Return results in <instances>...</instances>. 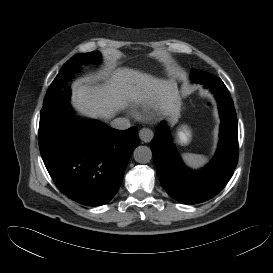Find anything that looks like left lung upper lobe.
I'll return each mask as SVG.
<instances>
[{
    "mask_svg": "<svg viewBox=\"0 0 273 273\" xmlns=\"http://www.w3.org/2000/svg\"><path fill=\"white\" fill-rule=\"evenodd\" d=\"M191 80L192 82H194L196 80V71L195 70H191V74H190Z\"/></svg>",
    "mask_w": 273,
    "mask_h": 273,
    "instance_id": "obj_1",
    "label": "left lung upper lobe"
}]
</instances>
